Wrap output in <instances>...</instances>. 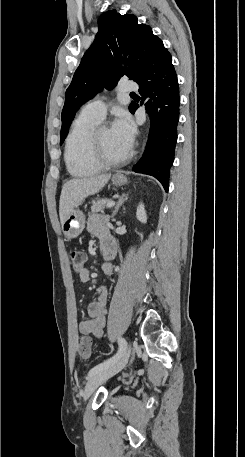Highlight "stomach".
Returning a JSON list of instances; mask_svg holds the SVG:
<instances>
[{
  "mask_svg": "<svg viewBox=\"0 0 245 457\" xmlns=\"http://www.w3.org/2000/svg\"><path fill=\"white\" fill-rule=\"evenodd\" d=\"M116 174H119V178H114V176H112L113 184H116V186L126 184L127 178L125 174H122L120 170H117ZM83 229H85V216L82 210L74 208V210H71L66 220L62 222L63 235H65L66 239H76V237H79L80 233H82Z\"/></svg>",
  "mask_w": 245,
  "mask_h": 457,
  "instance_id": "0dacf381",
  "label": "stomach"
}]
</instances>
